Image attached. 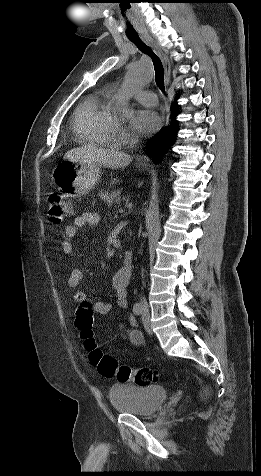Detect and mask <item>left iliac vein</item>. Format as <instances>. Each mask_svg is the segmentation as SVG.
Here are the masks:
<instances>
[{"mask_svg":"<svg viewBox=\"0 0 261 476\" xmlns=\"http://www.w3.org/2000/svg\"><path fill=\"white\" fill-rule=\"evenodd\" d=\"M149 317L150 316H149L148 311H144V313L142 315V322H143L145 330L148 333H151V326H150V318Z\"/></svg>","mask_w":261,"mask_h":476,"instance_id":"left-iliac-vein-1","label":"left iliac vein"}]
</instances>
